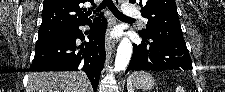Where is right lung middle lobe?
Returning a JSON list of instances; mask_svg holds the SVG:
<instances>
[{
    "label": "right lung middle lobe",
    "instance_id": "1",
    "mask_svg": "<svg viewBox=\"0 0 225 92\" xmlns=\"http://www.w3.org/2000/svg\"><path fill=\"white\" fill-rule=\"evenodd\" d=\"M71 28L69 27H44L39 28L37 43L50 39L65 37Z\"/></svg>",
    "mask_w": 225,
    "mask_h": 92
}]
</instances>
